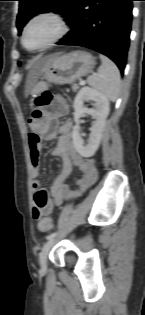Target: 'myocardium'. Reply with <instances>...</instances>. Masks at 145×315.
Returning a JSON list of instances; mask_svg holds the SVG:
<instances>
[{"label": "myocardium", "instance_id": "obj_1", "mask_svg": "<svg viewBox=\"0 0 145 315\" xmlns=\"http://www.w3.org/2000/svg\"><path fill=\"white\" fill-rule=\"evenodd\" d=\"M40 19H48L51 20L52 22L55 23L56 25V32L55 34L48 40L46 41L44 44L35 47V48H30L26 45V33L28 28L30 27V25ZM67 24L65 19L58 13L54 12V11H43V12H39L33 16H31L27 22L25 23L23 29H22V34H21V42L22 45L25 49H27L28 51H41L44 50L50 46H52L53 44H55L56 42H58L60 39H62L65 34L67 33Z\"/></svg>", "mask_w": 145, "mask_h": 315}]
</instances>
